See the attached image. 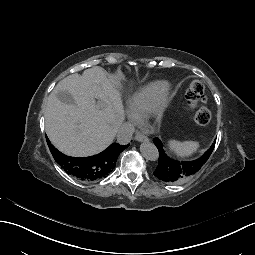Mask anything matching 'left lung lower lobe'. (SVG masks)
<instances>
[{"label":"left lung lower lobe","mask_w":255,"mask_h":255,"mask_svg":"<svg viewBox=\"0 0 255 255\" xmlns=\"http://www.w3.org/2000/svg\"><path fill=\"white\" fill-rule=\"evenodd\" d=\"M153 142L158 149V154L155 157L158 165L151 171V175L165 181L168 185L185 181L195 174L208 162L211 153L217 147V144L212 142L206 151H202L201 157L179 160L165 152L164 144L158 137H155Z\"/></svg>","instance_id":"left-lung-lower-lobe-1"}]
</instances>
